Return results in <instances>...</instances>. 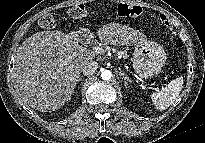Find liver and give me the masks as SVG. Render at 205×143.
I'll return each instance as SVG.
<instances>
[{"instance_id": "liver-1", "label": "liver", "mask_w": 205, "mask_h": 143, "mask_svg": "<svg viewBox=\"0 0 205 143\" xmlns=\"http://www.w3.org/2000/svg\"><path fill=\"white\" fill-rule=\"evenodd\" d=\"M97 33L105 45L131 46L146 41L143 33L116 23L103 25ZM80 34L81 30L69 34L41 31L18 47L12 76L21 103L47 112L70 100L82 67L95 57L79 45Z\"/></svg>"}]
</instances>
